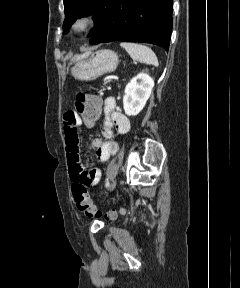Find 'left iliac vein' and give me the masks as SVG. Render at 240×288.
<instances>
[{
  "label": "left iliac vein",
  "mask_w": 240,
  "mask_h": 288,
  "mask_svg": "<svg viewBox=\"0 0 240 288\" xmlns=\"http://www.w3.org/2000/svg\"><path fill=\"white\" fill-rule=\"evenodd\" d=\"M116 186V180H113V182L111 183L110 185V191H113V189L115 188Z\"/></svg>",
  "instance_id": "left-iliac-vein-1"
}]
</instances>
